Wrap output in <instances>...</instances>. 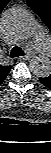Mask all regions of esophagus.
<instances>
[{"label": "esophagus", "mask_w": 51, "mask_h": 153, "mask_svg": "<svg viewBox=\"0 0 51 153\" xmlns=\"http://www.w3.org/2000/svg\"><path fill=\"white\" fill-rule=\"evenodd\" d=\"M31 58V55H25V56H21L19 59L20 60H28Z\"/></svg>", "instance_id": "esophagus-1"}]
</instances>
